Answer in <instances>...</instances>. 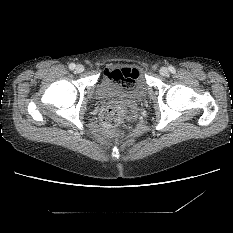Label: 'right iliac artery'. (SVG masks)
Instances as JSON below:
<instances>
[{
  "instance_id": "1",
  "label": "right iliac artery",
  "mask_w": 233,
  "mask_h": 233,
  "mask_svg": "<svg viewBox=\"0 0 233 233\" xmlns=\"http://www.w3.org/2000/svg\"><path fill=\"white\" fill-rule=\"evenodd\" d=\"M75 67H76V66H75V64H74V63L69 64V69H70V70H74V69H75Z\"/></svg>"
}]
</instances>
